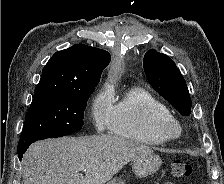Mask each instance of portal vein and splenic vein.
I'll return each mask as SVG.
<instances>
[{"label": "portal vein and splenic vein", "instance_id": "18ae733b", "mask_svg": "<svg viewBox=\"0 0 224 184\" xmlns=\"http://www.w3.org/2000/svg\"><path fill=\"white\" fill-rule=\"evenodd\" d=\"M79 169H80L81 171H86L85 167H83V166L80 167Z\"/></svg>", "mask_w": 224, "mask_h": 184}]
</instances>
